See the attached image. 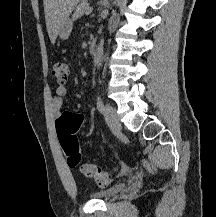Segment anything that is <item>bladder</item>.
<instances>
[{
    "label": "bladder",
    "mask_w": 216,
    "mask_h": 217,
    "mask_svg": "<svg viewBox=\"0 0 216 217\" xmlns=\"http://www.w3.org/2000/svg\"><path fill=\"white\" fill-rule=\"evenodd\" d=\"M126 187H127L126 183L114 184L101 191L91 193L90 196L98 200L106 201L118 196L120 193H122L125 190Z\"/></svg>",
    "instance_id": "obj_1"
}]
</instances>
